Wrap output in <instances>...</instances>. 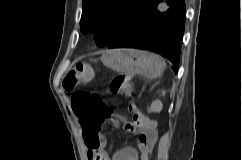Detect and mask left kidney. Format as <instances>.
<instances>
[{"label":"left kidney","mask_w":242,"mask_h":160,"mask_svg":"<svg viewBox=\"0 0 242 160\" xmlns=\"http://www.w3.org/2000/svg\"><path fill=\"white\" fill-rule=\"evenodd\" d=\"M162 103L160 101H154L151 105V111H161Z\"/></svg>","instance_id":"obj_1"}]
</instances>
